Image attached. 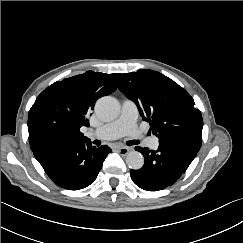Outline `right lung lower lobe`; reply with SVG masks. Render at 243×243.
I'll return each mask as SVG.
<instances>
[{
  "label": "right lung lower lobe",
  "instance_id": "1",
  "mask_svg": "<svg viewBox=\"0 0 243 243\" xmlns=\"http://www.w3.org/2000/svg\"><path fill=\"white\" fill-rule=\"evenodd\" d=\"M30 147L50 179L68 190L83 189L92 184L111 152L106 145L93 147L90 140L75 143L44 138Z\"/></svg>",
  "mask_w": 243,
  "mask_h": 243
}]
</instances>
